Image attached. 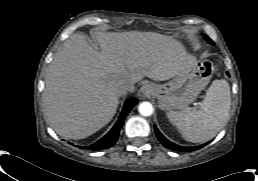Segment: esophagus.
<instances>
[{
	"instance_id": "esophagus-1",
	"label": "esophagus",
	"mask_w": 258,
	"mask_h": 181,
	"mask_svg": "<svg viewBox=\"0 0 258 181\" xmlns=\"http://www.w3.org/2000/svg\"><path fill=\"white\" fill-rule=\"evenodd\" d=\"M140 91L144 94L150 93L152 91L151 85L150 84L143 85Z\"/></svg>"
}]
</instances>
